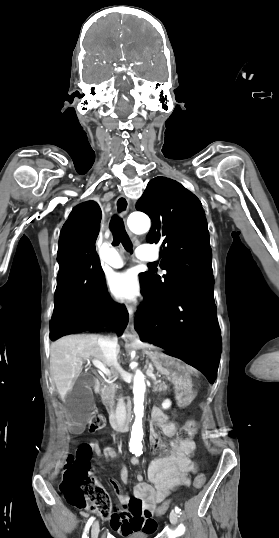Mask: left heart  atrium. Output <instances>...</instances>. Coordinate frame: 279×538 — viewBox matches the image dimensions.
<instances>
[{
    "label": "left heart atrium",
    "instance_id": "obj_1",
    "mask_svg": "<svg viewBox=\"0 0 279 538\" xmlns=\"http://www.w3.org/2000/svg\"><path fill=\"white\" fill-rule=\"evenodd\" d=\"M108 286L112 294L123 302H134L139 295L138 278L133 270L111 273Z\"/></svg>",
    "mask_w": 279,
    "mask_h": 538
}]
</instances>
